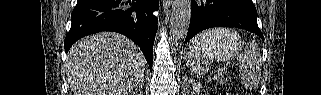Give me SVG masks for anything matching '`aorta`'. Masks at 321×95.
I'll return each instance as SVG.
<instances>
[{"instance_id": "aorta-1", "label": "aorta", "mask_w": 321, "mask_h": 95, "mask_svg": "<svg viewBox=\"0 0 321 95\" xmlns=\"http://www.w3.org/2000/svg\"><path fill=\"white\" fill-rule=\"evenodd\" d=\"M191 20V0H173L170 25V42L178 50L188 33Z\"/></svg>"}]
</instances>
